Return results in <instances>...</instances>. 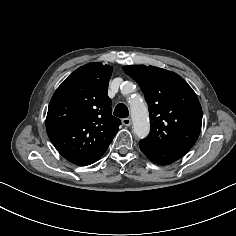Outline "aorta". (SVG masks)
I'll list each match as a JSON object with an SVG mask.
<instances>
[{
  "instance_id": "obj_1",
  "label": "aorta",
  "mask_w": 236,
  "mask_h": 236,
  "mask_svg": "<svg viewBox=\"0 0 236 236\" xmlns=\"http://www.w3.org/2000/svg\"><path fill=\"white\" fill-rule=\"evenodd\" d=\"M127 83L125 86H131ZM131 117L133 121V132L138 138H145L150 131L148 109L144 102L138 101L131 105Z\"/></svg>"
}]
</instances>
